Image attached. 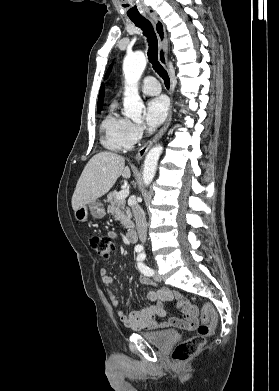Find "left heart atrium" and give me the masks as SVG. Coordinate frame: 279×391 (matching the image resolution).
Here are the masks:
<instances>
[{"label": "left heart atrium", "instance_id": "left-heart-atrium-1", "mask_svg": "<svg viewBox=\"0 0 279 391\" xmlns=\"http://www.w3.org/2000/svg\"><path fill=\"white\" fill-rule=\"evenodd\" d=\"M168 113V101L160 96L150 99L145 108V120L150 128H156L166 118Z\"/></svg>", "mask_w": 279, "mask_h": 391}]
</instances>
